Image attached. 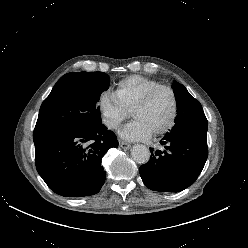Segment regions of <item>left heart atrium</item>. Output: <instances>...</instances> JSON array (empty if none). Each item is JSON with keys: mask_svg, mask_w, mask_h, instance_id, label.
Masks as SVG:
<instances>
[{"mask_svg": "<svg viewBox=\"0 0 248 248\" xmlns=\"http://www.w3.org/2000/svg\"><path fill=\"white\" fill-rule=\"evenodd\" d=\"M151 134L150 130L141 121L136 119H133L120 131L121 137L129 141L145 140Z\"/></svg>", "mask_w": 248, "mask_h": 248, "instance_id": "39dd6f15", "label": "left heart atrium"}]
</instances>
